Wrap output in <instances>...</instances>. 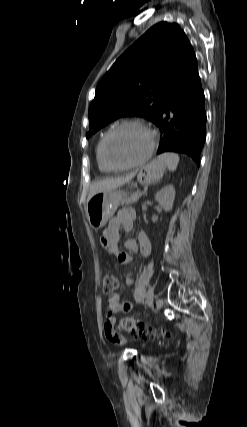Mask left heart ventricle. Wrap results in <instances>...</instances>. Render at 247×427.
Here are the masks:
<instances>
[{"label": "left heart ventricle", "instance_id": "b2bd125f", "mask_svg": "<svg viewBox=\"0 0 247 427\" xmlns=\"http://www.w3.org/2000/svg\"><path fill=\"white\" fill-rule=\"evenodd\" d=\"M151 142V137L142 128L129 126L117 131L109 140L107 155L114 165H126L142 158Z\"/></svg>", "mask_w": 247, "mask_h": 427}]
</instances>
